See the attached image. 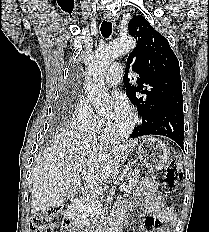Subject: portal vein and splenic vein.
Instances as JSON below:
<instances>
[{
	"instance_id": "obj_1",
	"label": "portal vein and splenic vein",
	"mask_w": 209,
	"mask_h": 232,
	"mask_svg": "<svg viewBox=\"0 0 209 232\" xmlns=\"http://www.w3.org/2000/svg\"><path fill=\"white\" fill-rule=\"evenodd\" d=\"M77 171L81 173L82 178L86 181V183L88 184L91 190H93L98 195H103V190L98 186V184L95 181L94 176L90 172L82 168H78ZM120 190L121 191L126 190L125 183L121 184Z\"/></svg>"
}]
</instances>
